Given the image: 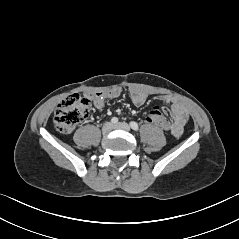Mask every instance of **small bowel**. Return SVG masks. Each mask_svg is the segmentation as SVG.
Masks as SVG:
<instances>
[{
    "label": "small bowel",
    "instance_id": "obj_1",
    "mask_svg": "<svg viewBox=\"0 0 239 239\" xmlns=\"http://www.w3.org/2000/svg\"><path fill=\"white\" fill-rule=\"evenodd\" d=\"M118 90L88 93L86 96L93 101L95 108L102 111L107 99H113L119 96ZM132 102L137 105H143L147 100V94L139 89L131 91ZM160 99L166 104L170 105V113L172 121H169V127L163 129L169 131L174 138H179L184 130V126L188 121V112L184 105L173 97L162 95Z\"/></svg>",
    "mask_w": 239,
    "mask_h": 239
}]
</instances>
